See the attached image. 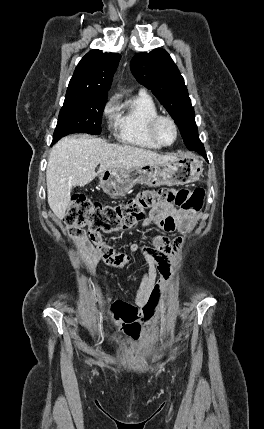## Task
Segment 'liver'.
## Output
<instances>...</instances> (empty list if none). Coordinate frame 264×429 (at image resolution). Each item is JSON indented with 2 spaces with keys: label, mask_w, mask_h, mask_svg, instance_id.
Segmentation results:
<instances>
[{
  "label": "liver",
  "mask_w": 264,
  "mask_h": 429,
  "mask_svg": "<svg viewBox=\"0 0 264 429\" xmlns=\"http://www.w3.org/2000/svg\"><path fill=\"white\" fill-rule=\"evenodd\" d=\"M176 154L161 155L143 148L109 144L101 138L66 136L52 148L46 170L48 204L59 219L65 217L72 187H83L98 173L165 164Z\"/></svg>",
  "instance_id": "liver-1"
}]
</instances>
